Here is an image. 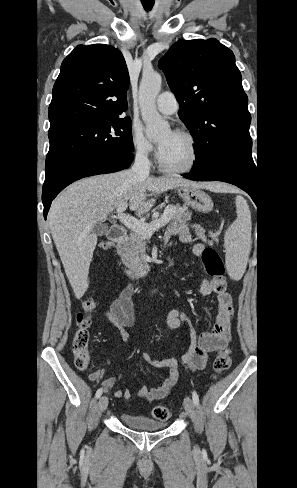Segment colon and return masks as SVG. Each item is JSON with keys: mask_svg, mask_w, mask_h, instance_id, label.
Returning a JSON list of instances; mask_svg holds the SVG:
<instances>
[{"mask_svg": "<svg viewBox=\"0 0 297 488\" xmlns=\"http://www.w3.org/2000/svg\"><path fill=\"white\" fill-rule=\"evenodd\" d=\"M102 250L111 248L109 242L100 244ZM203 263L207 274L211 278L213 289L217 293H224L227 288L225 279V268L219 254L211 248L205 249L202 254ZM94 302L87 300L83 303V309L76 316V331L73 338L72 349L74 353L75 365L80 370H86L91 364L89 353V327L91 325V312L94 309ZM231 364L230 349L223 347L218 351L213 364L212 371L214 376L223 374ZM152 416L157 420H167L171 416V411L165 406H155L152 409Z\"/></svg>", "mask_w": 297, "mask_h": 488, "instance_id": "5ec220e1", "label": "colon"}]
</instances>
